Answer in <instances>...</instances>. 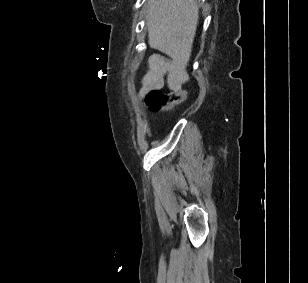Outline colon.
<instances>
[{"label": "colon", "instance_id": "1", "mask_svg": "<svg viewBox=\"0 0 308 283\" xmlns=\"http://www.w3.org/2000/svg\"><path fill=\"white\" fill-rule=\"evenodd\" d=\"M187 97L185 91L163 92L151 90L146 94L147 105L154 111L167 110L183 102Z\"/></svg>", "mask_w": 308, "mask_h": 283}]
</instances>
